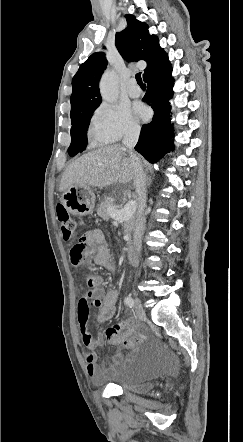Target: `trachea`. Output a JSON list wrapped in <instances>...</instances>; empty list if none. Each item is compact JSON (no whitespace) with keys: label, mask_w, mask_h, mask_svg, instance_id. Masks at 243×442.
I'll use <instances>...</instances> for the list:
<instances>
[{"label":"trachea","mask_w":243,"mask_h":442,"mask_svg":"<svg viewBox=\"0 0 243 442\" xmlns=\"http://www.w3.org/2000/svg\"><path fill=\"white\" fill-rule=\"evenodd\" d=\"M135 78L139 85H144L140 72L136 74Z\"/></svg>","instance_id":"3493384b"}]
</instances>
